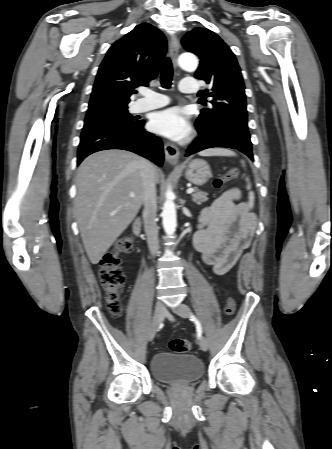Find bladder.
<instances>
[{
  "label": "bladder",
  "mask_w": 332,
  "mask_h": 449,
  "mask_svg": "<svg viewBox=\"0 0 332 449\" xmlns=\"http://www.w3.org/2000/svg\"><path fill=\"white\" fill-rule=\"evenodd\" d=\"M151 373L163 384H189L203 376L204 366L192 354L161 352L151 360Z\"/></svg>",
  "instance_id": "31cf9c89"
}]
</instances>
